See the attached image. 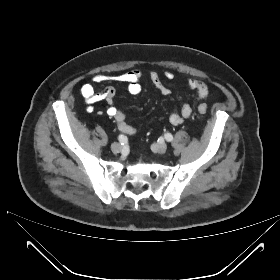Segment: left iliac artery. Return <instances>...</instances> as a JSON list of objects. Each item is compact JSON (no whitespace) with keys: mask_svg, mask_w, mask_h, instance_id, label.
Here are the masks:
<instances>
[{"mask_svg":"<svg viewBox=\"0 0 280 280\" xmlns=\"http://www.w3.org/2000/svg\"><path fill=\"white\" fill-rule=\"evenodd\" d=\"M165 139L168 142H171L173 140V136L170 133L165 134Z\"/></svg>","mask_w":280,"mask_h":280,"instance_id":"left-iliac-artery-1","label":"left iliac artery"}]
</instances>
